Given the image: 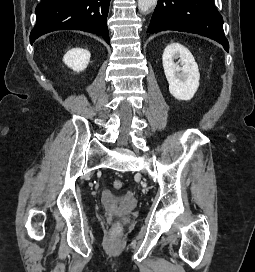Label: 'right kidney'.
I'll return each mask as SVG.
<instances>
[{
	"mask_svg": "<svg viewBox=\"0 0 255 272\" xmlns=\"http://www.w3.org/2000/svg\"><path fill=\"white\" fill-rule=\"evenodd\" d=\"M90 52L82 48L70 49L63 57V62L76 72L86 69L90 61Z\"/></svg>",
	"mask_w": 255,
	"mask_h": 272,
	"instance_id": "1",
	"label": "right kidney"
}]
</instances>
